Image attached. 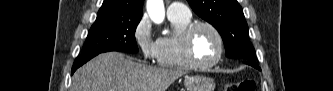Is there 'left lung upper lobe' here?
Here are the masks:
<instances>
[{
    "label": "left lung upper lobe",
    "instance_id": "obj_1",
    "mask_svg": "<svg viewBox=\"0 0 333 91\" xmlns=\"http://www.w3.org/2000/svg\"><path fill=\"white\" fill-rule=\"evenodd\" d=\"M193 11L220 33L226 56L251 61L255 50L249 41L248 25L237 0H188Z\"/></svg>",
    "mask_w": 333,
    "mask_h": 91
}]
</instances>
